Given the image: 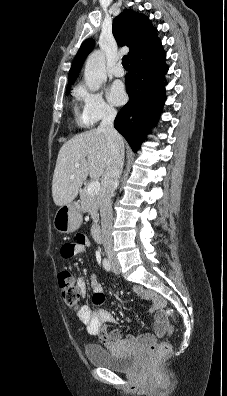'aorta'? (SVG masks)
Segmentation results:
<instances>
[{"label": "aorta", "mask_w": 227, "mask_h": 396, "mask_svg": "<svg viewBox=\"0 0 227 396\" xmlns=\"http://www.w3.org/2000/svg\"><path fill=\"white\" fill-rule=\"evenodd\" d=\"M85 81L90 91L96 92L106 81L105 55L100 50L90 54L85 64Z\"/></svg>", "instance_id": "aorta-1"}]
</instances>
